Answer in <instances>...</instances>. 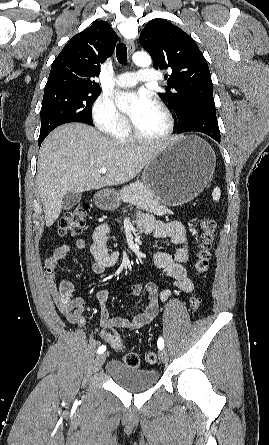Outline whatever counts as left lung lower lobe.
<instances>
[{
	"label": "left lung lower lobe",
	"mask_w": 269,
	"mask_h": 445,
	"mask_svg": "<svg viewBox=\"0 0 269 445\" xmlns=\"http://www.w3.org/2000/svg\"><path fill=\"white\" fill-rule=\"evenodd\" d=\"M197 131L204 133L217 142H220V130L218 127L216 111H197L189 119L178 126L177 134Z\"/></svg>",
	"instance_id": "0a47b994"
}]
</instances>
